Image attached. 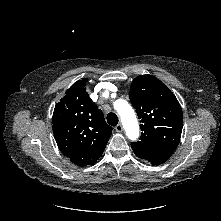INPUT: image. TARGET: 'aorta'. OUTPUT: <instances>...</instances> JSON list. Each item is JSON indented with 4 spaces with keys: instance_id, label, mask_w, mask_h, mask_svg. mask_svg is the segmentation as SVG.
Wrapping results in <instances>:
<instances>
[{
    "instance_id": "obj_1",
    "label": "aorta",
    "mask_w": 221,
    "mask_h": 221,
    "mask_svg": "<svg viewBox=\"0 0 221 221\" xmlns=\"http://www.w3.org/2000/svg\"><path fill=\"white\" fill-rule=\"evenodd\" d=\"M115 109L120 115L123 127L129 139L135 140L139 135V125L133 108L125 100H118Z\"/></svg>"
}]
</instances>
